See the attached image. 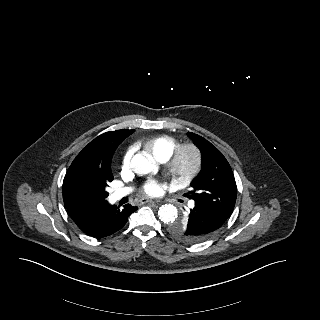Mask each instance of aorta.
I'll return each instance as SVG.
<instances>
[{
  "label": "aorta",
  "mask_w": 320,
  "mask_h": 320,
  "mask_svg": "<svg viewBox=\"0 0 320 320\" xmlns=\"http://www.w3.org/2000/svg\"><path fill=\"white\" fill-rule=\"evenodd\" d=\"M131 168L137 175H146L155 170V164L143 154H135L131 160ZM159 219L163 223H172L178 216V210L174 205L165 204L158 210Z\"/></svg>",
  "instance_id": "obj_1"
}]
</instances>
